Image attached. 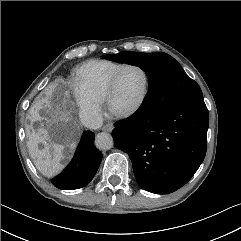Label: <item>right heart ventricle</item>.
<instances>
[{"label":"right heart ventricle","instance_id":"1","mask_svg":"<svg viewBox=\"0 0 241 241\" xmlns=\"http://www.w3.org/2000/svg\"><path fill=\"white\" fill-rule=\"evenodd\" d=\"M124 63L111 61H92L77 69V86L91 98L102 102L105 99L108 84Z\"/></svg>","mask_w":241,"mask_h":241}]
</instances>
